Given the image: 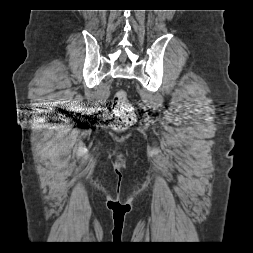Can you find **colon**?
I'll return each mask as SVG.
<instances>
[{"instance_id":"obj_1","label":"colon","mask_w":253,"mask_h":253,"mask_svg":"<svg viewBox=\"0 0 253 253\" xmlns=\"http://www.w3.org/2000/svg\"><path fill=\"white\" fill-rule=\"evenodd\" d=\"M112 104L114 119L111 126L117 132L125 131L135 121L134 107L129 102L127 93L124 90L117 91Z\"/></svg>"}]
</instances>
